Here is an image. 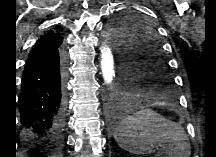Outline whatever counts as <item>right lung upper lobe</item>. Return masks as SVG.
I'll return each mask as SVG.
<instances>
[{
    "label": "right lung upper lobe",
    "instance_id": "right-lung-upper-lobe-1",
    "mask_svg": "<svg viewBox=\"0 0 216 157\" xmlns=\"http://www.w3.org/2000/svg\"><path fill=\"white\" fill-rule=\"evenodd\" d=\"M62 41L63 39L59 33L48 32L45 34L37 41L31 50L25 67L55 51H58V47L61 45Z\"/></svg>",
    "mask_w": 216,
    "mask_h": 157
}]
</instances>
